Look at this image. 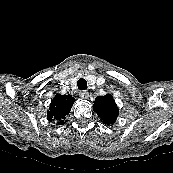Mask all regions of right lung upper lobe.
I'll list each match as a JSON object with an SVG mask.
<instances>
[{
	"label": "right lung upper lobe",
	"mask_w": 173,
	"mask_h": 173,
	"mask_svg": "<svg viewBox=\"0 0 173 173\" xmlns=\"http://www.w3.org/2000/svg\"><path fill=\"white\" fill-rule=\"evenodd\" d=\"M75 99L71 95L57 94L50 104L47 118L49 121L63 125L65 116L69 114Z\"/></svg>",
	"instance_id": "obj_1"
}]
</instances>
